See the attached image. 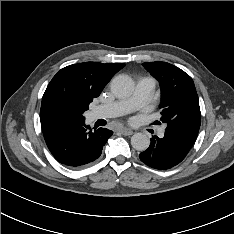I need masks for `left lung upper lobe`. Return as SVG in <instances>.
<instances>
[{"mask_svg": "<svg viewBox=\"0 0 234 234\" xmlns=\"http://www.w3.org/2000/svg\"><path fill=\"white\" fill-rule=\"evenodd\" d=\"M143 66L160 83L161 121L167 124L165 133L191 148L201 124L199 99L192 78L166 62H146Z\"/></svg>", "mask_w": 234, "mask_h": 234, "instance_id": "obj_1", "label": "left lung upper lobe"}]
</instances>
